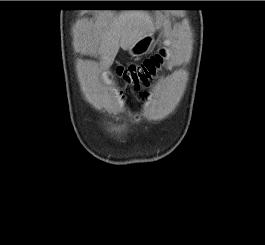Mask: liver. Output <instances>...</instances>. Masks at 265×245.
Returning a JSON list of instances; mask_svg holds the SVG:
<instances>
[{
	"label": "liver",
	"mask_w": 265,
	"mask_h": 245,
	"mask_svg": "<svg viewBox=\"0 0 265 245\" xmlns=\"http://www.w3.org/2000/svg\"><path fill=\"white\" fill-rule=\"evenodd\" d=\"M151 15L142 10L124 11L118 15L100 14L84 34V45L89 52L97 53L108 68L119 48L130 50L140 39L155 31Z\"/></svg>",
	"instance_id": "6515ba94"
}]
</instances>
